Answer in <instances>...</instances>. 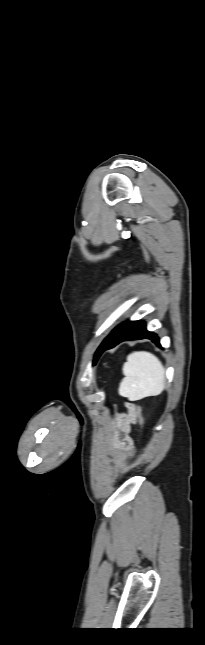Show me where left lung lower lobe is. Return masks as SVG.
Instances as JSON below:
<instances>
[{
	"label": "left lung lower lobe",
	"instance_id": "1",
	"mask_svg": "<svg viewBox=\"0 0 205 645\" xmlns=\"http://www.w3.org/2000/svg\"><path fill=\"white\" fill-rule=\"evenodd\" d=\"M150 339L157 346H160L159 338L156 334L146 330V325L144 321H125L122 324L118 325L102 342L101 346L98 349V354L94 360L98 359L101 353L107 349L113 348L117 344L126 340H137V339Z\"/></svg>",
	"mask_w": 205,
	"mask_h": 645
}]
</instances>
